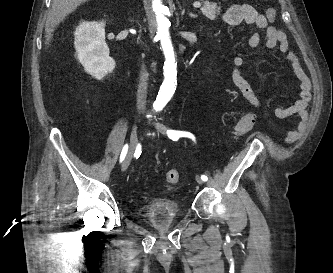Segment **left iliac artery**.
I'll use <instances>...</instances> for the list:
<instances>
[{"label":"left iliac artery","instance_id":"1","mask_svg":"<svg viewBox=\"0 0 333 273\" xmlns=\"http://www.w3.org/2000/svg\"><path fill=\"white\" fill-rule=\"evenodd\" d=\"M167 134H168V137L170 139H172L173 141L174 140H178L179 137H188V138L192 139L193 141H195V136L192 133H190V132L176 131V130H167ZM201 179L203 181H207L208 177L205 176V175H202Z\"/></svg>","mask_w":333,"mask_h":273}]
</instances>
